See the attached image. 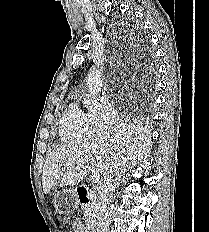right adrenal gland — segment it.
I'll list each match as a JSON object with an SVG mask.
<instances>
[{"instance_id": "1", "label": "right adrenal gland", "mask_w": 209, "mask_h": 232, "mask_svg": "<svg viewBox=\"0 0 209 232\" xmlns=\"http://www.w3.org/2000/svg\"><path fill=\"white\" fill-rule=\"evenodd\" d=\"M126 177H127V175H125V174H121V175L117 176V178L115 179V182H114V190H116V188L118 187L119 182L124 181L126 179Z\"/></svg>"}]
</instances>
